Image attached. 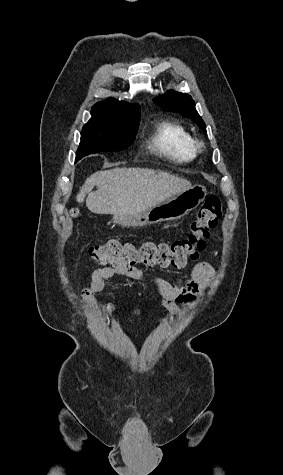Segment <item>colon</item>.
I'll return each instance as SVG.
<instances>
[{"mask_svg": "<svg viewBox=\"0 0 283 475\" xmlns=\"http://www.w3.org/2000/svg\"><path fill=\"white\" fill-rule=\"evenodd\" d=\"M222 214L221 198L212 195L198 209L190 225V233L183 240L145 242L138 248L131 242L111 241L93 248L90 258L100 265L110 263L126 269H132L137 264L148 267L180 268L189 261L196 260L206 249L209 230L217 226ZM77 215L76 212L73 213L74 217Z\"/></svg>", "mask_w": 283, "mask_h": 475, "instance_id": "1", "label": "colon"}]
</instances>
